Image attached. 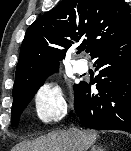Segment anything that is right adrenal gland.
I'll return each mask as SVG.
<instances>
[{"instance_id": "2a0ac1e0", "label": "right adrenal gland", "mask_w": 131, "mask_h": 151, "mask_svg": "<svg viewBox=\"0 0 131 151\" xmlns=\"http://www.w3.org/2000/svg\"><path fill=\"white\" fill-rule=\"evenodd\" d=\"M90 151H105V149H103L102 147H98V146H92Z\"/></svg>"}]
</instances>
